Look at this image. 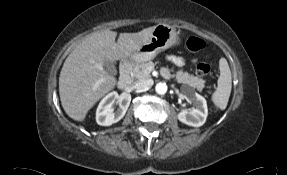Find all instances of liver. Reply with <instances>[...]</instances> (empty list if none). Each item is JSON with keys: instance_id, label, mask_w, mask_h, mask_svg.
Masks as SVG:
<instances>
[{"instance_id": "obj_1", "label": "liver", "mask_w": 287, "mask_h": 175, "mask_svg": "<svg viewBox=\"0 0 287 175\" xmlns=\"http://www.w3.org/2000/svg\"><path fill=\"white\" fill-rule=\"evenodd\" d=\"M154 27L137 33L103 30L88 35L66 58L59 77V94L66 114L83 121L87 112L117 84L103 67L105 59L117 61L130 57L149 41Z\"/></svg>"}]
</instances>
